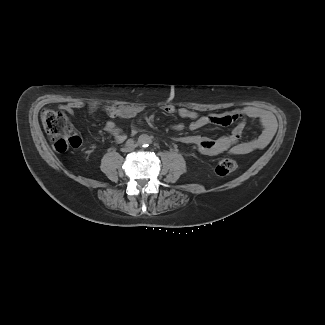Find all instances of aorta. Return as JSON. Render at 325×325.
Segmentation results:
<instances>
[{
    "label": "aorta",
    "mask_w": 325,
    "mask_h": 325,
    "mask_svg": "<svg viewBox=\"0 0 325 325\" xmlns=\"http://www.w3.org/2000/svg\"><path fill=\"white\" fill-rule=\"evenodd\" d=\"M151 137L147 134H142L138 138V145L141 147H148L151 144Z\"/></svg>",
    "instance_id": "1"
}]
</instances>
